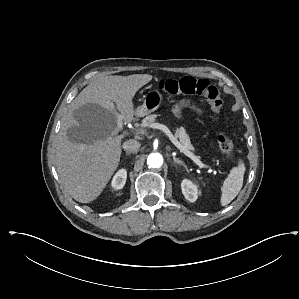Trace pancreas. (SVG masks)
I'll return each instance as SVG.
<instances>
[{
	"mask_svg": "<svg viewBox=\"0 0 299 299\" xmlns=\"http://www.w3.org/2000/svg\"><path fill=\"white\" fill-rule=\"evenodd\" d=\"M156 114L149 115L143 119L141 126L144 128H150L152 124L156 122L157 119ZM175 137L179 139L180 144L188 151L193 150V146L191 145L189 136L187 135L185 129L183 127L177 128L175 130Z\"/></svg>",
	"mask_w": 299,
	"mask_h": 299,
	"instance_id": "1",
	"label": "pancreas"
}]
</instances>
